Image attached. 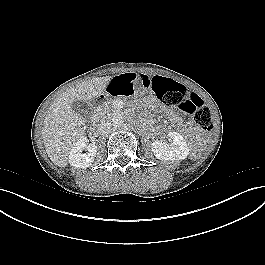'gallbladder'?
I'll return each instance as SVG.
<instances>
[{"instance_id":"1","label":"gallbladder","mask_w":265,"mask_h":265,"mask_svg":"<svg viewBox=\"0 0 265 265\" xmlns=\"http://www.w3.org/2000/svg\"><path fill=\"white\" fill-rule=\"evenodd\" d=\"M73 108L75 112L82 115L85 118V120H90L93 115L92 109L86 102L76 101L73 103Z\"/></svg>"}]
</instances>
